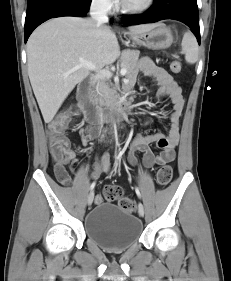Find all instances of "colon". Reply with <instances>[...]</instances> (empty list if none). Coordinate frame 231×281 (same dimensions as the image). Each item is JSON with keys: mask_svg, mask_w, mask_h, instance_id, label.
Here are the masks:
<instances>
[{"mask_svg": "<svg viewBox=\"0 0 231 281\" xmlns=\"http://www.w3.org/2000/svg\"><path fill=\"white\" fill-rule=\"evenodd\" d=\"M170 69L173 73H179L181 71V63L173 61L170 64ZM68 122L69 114L63 113L48 125L50 153L54 164H66L69 160L71 150L69 140L65 134ZM172 176V167L164 165L158 170L156 180L159 185L166 186L171 181ZM104 199L107 202H118L119 206L127 212L135 210L134 201L129 198H123L122 189L119 186H107L104 189ZM100 201L101 198L97 197L96 203Z\"/></svg>", "mask_w": 231, "mask_h": 281, "instance_id": "1", "label": "colon"}]
</instances>
